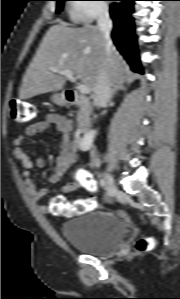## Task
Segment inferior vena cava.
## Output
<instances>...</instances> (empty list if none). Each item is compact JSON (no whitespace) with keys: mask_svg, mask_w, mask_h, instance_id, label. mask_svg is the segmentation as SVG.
<instances>
[{"mask_svg":"<svg viewBox=\"0 0 180 299\" xmlns=\"http://www.w3.org/2000/svg\"><path fill=\"white\" fill-rule=\"evenodd\" d=\"M97 26L104 35L107 47L110 48L112 46V41L110 39L112 21L106 7L101 8L98 12ZM112 92L113 89L109 69L106 67L99 73L97 78V85L94 92V105L98 108L105 105L112 97Z\"/></svg>","mask_w":180,"mask_h":299,"instance_id":"inferior-vena-cava-1","label":"inferior vena cava"}]
</instances>
